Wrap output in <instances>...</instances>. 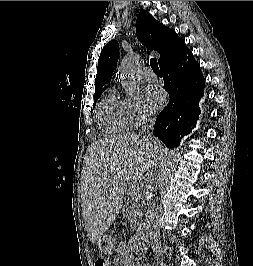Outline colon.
Listing matches in <instances>:
<instances>
[{
    "mask_svg": "<svg viewBox=\"0 0 253 266\" xmlns=\"http://www.w3.org/2000/svg\"><path fill=\"white\" fill-rule=\"evenodd\" d=\"M95 266H109L106 259L99 258L95 261Z\"/></svg>",
    "mask_w": 253,
    "mask_h": 266,
    "instance_id": "colon-1",
    "label": "colon"
}]
</instances>
